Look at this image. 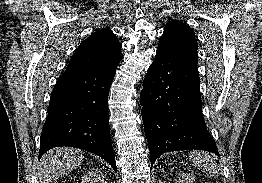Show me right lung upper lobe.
Returning a JSON list of instances; mask_svg holds the SVG:
<instances>
[{
  "label": "right lung upper lobe",
  "mask_w": 262,
  "mask_h": 183,
  "mask_svg": "<svg viewBox=\"0 0 262 183\" xmlns=\"http://www.w3.org/2000/svg\"><path fill=\"white\" fill-rule=\"evenodd\" d=\"M122 44L110 29H100L82 41L66 71L111 69L117 67L123 56Z\"/></svg>",
  "instance_id": "1"
}]
</instances>
